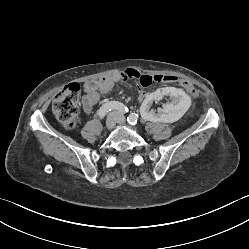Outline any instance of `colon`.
I'll return each mask as SVG.
<instances>
[{
    "mask_svg": "<svg viewBox=\"0 0 249 249\" xmlns=\"http://www.w3.org/2000/svg\"><path fill=\"white\" fill-rule=\"evenodd\" d=\"M139 80L140 88H149L157 82L163 81L166 83L176 82L177 78L174 76H149L141 75ZM182 84L187 83L181 81ZM80 86L77 83H70L66 85L61 91H59L53 99V111L60 122V124L66 129L74 128L79 122V98ZM189 94L192 97L197 95L194 89L189 90Z\"/></svg>",
    "mask_w": 249,
    "mask_h": 249,
    "instance_id": "5ec220e1",
    "label": "colon"
}]
</instances>
